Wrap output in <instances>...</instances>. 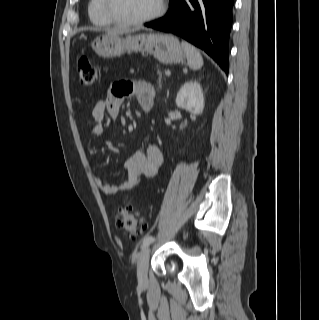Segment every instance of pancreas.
<instances>
[{
	"label": "pancreas",
	"instance_id": "pancreas-1",
	"mask_svg": "<svg viewBox=\"0 0 319 320\" xmlns=\"http://www.w3.org/2000/svg\"><path fill=\"white\" fill-rule=\"evenodd\" d=\"M157 75H158V79H159V82H160L161 79H162V74H161V71L159 69H157Z\"/></svg>",
	"mask_w": 319,
	"mask_h": 320
}]
</instances>
